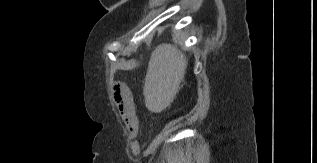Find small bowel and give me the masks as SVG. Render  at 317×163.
<instances>
[{
	"instance_id": "c3829d8e",
	"label": "small bowel",
	"mask_w": 317,
	"mask_h": 163,
	"mask_svg": "<svg viewBox=\"0 0 317 163\" xmlns=\"http://www.w3.org/2000/svg\"><path fill=\"white\" fill-rule=\"evenodd\" d=\"M129 99L127 102H121V100H116L117 108L120 116L125 121V123L130 127L131 130H135L137 127V116L134 108V102L129 89Z\"/></svg>"
}]
</instances>
